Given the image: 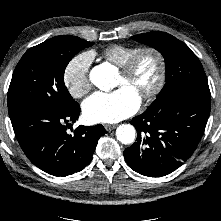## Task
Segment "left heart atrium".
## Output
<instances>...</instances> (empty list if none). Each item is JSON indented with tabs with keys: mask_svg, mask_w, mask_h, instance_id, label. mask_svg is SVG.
<instances>
[{
	"mask_svg": "<svg viewBox=\"0 0 221 221\" xmlns=\"http://www.w3.org/2000/svg\"><path fill=\"white\" fill-rule=\"evenodd\" d=\"M140 106V98L128 87L113 92H95L83 102L84 117L92 123H115L133 113Z\"/></svg>",
	"mask_w": 221,
	"mask_h": 221,
	"instance_id": "39dd6f15",
	"label": "left heart atrium"
}]
</instances>
